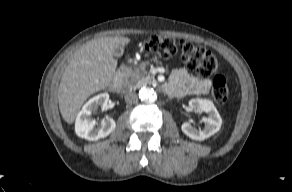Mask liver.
<instances>
[{"label":"liver","instance_id":"1","mask_svg":"<svg viewBox=\"0 0 292 192\" xmlns=\"http://www.w3.org/2000/svg\"><path fill=\"white\" fill-rule=\"evenodd\" d=\"M129 42L128 37H102L85 43L74 52L58 89L59 109L67 123L74 122L90 95L111 85L117 67L113 51Z\"/></svg>","mask_w":292,"mask_h":192}]
</instances>
